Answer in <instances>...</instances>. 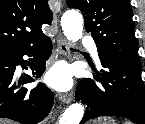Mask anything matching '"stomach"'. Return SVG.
<instances>
[{
    "mask_svg": "<svg viewBox=\"0 0 145 124\" xmlns=\"http://www.w3.org/2000/svg\"><path fill=\"white\" fill-rule=\"evenodd\" d=\"M93 124H115V122L112 119L104 118V119H100L97 123H93Z\"/></svg>",
    "mask_w": 145,
    "mask_h": 124,
    "instance_id": "stomach-1",
    "label": "stomach"
}]
</instances>
